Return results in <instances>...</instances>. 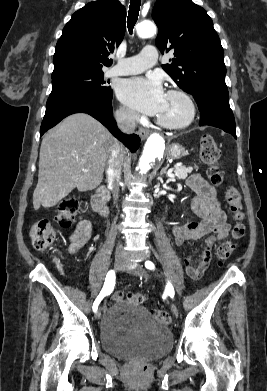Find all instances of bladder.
<instances>
[{"instance_id":"obj_1","label":"bladder","mask_w":267,"mask_h":391,"mask_svg":"<svg viewBox=\"0 0 267 391\" xmlns=\"http://www.w3.org/2000/svg\"><path fill=\"white\" fill-rule=\"evenodd\" d=\"M102 349L115 357L153 360L167 354L172 334L145 307L117 301L104 313L100 324Z\"/></svg>"}]
</instances>
